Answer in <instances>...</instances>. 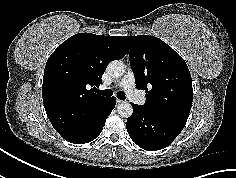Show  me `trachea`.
Instances as JSON below:
<instances>
[{
	"label": "trachea",
	"mask_w": 236,
	"mask_h": 178,
	"mask_svg": "<svg viewBox=\"0 0 236 178\" xmlns=\"http://www.w3.org/2000/svg\"><path fill=\"white\" fill-rule=\"evenodd\" d=\"M97 93L106 97H110L113 95V91L111 89L97 90ZM117 98H119L120 100H125V93L123 91L117 92Z\"/></svg>",
	"instance_id": "1"
}]
</instances>
